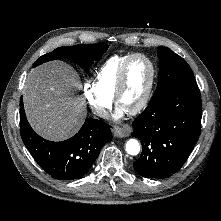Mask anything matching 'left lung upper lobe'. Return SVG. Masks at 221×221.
<instances>
[{
  "label": "left lung upper lobe",
  "instance_id": "obj_1",
  "mask_svg": "<svg viewBox=\"0 0 221 221\" xmlns=\"http://www.w3.org/2000/svg\"><path fill=\"white\" fill-rule=\"evenodd\" d=\"M159 80L152 99L160 98L171 89L182 84L195 82L193 72L188 63L169 48L159 47Z\"/></svg>",
  "mask_w": 221,
  "mask_h": 221
}]
</instances>
